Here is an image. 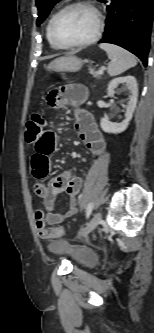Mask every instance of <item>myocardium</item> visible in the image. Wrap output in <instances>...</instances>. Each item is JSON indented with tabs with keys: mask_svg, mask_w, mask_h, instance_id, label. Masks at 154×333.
<instances>
[{
	"mask_svg": "<svg viewBox=\"0 0 154 333\" xmlns=\"http://www.w3.org/2000/svg\"><path fill=\"white\" fill-rule=\"evenodd\" d=\"M76 7H82V8H86L88 10H90L96 19V28L95 31L93 33V35L83 41L77 42V43H72V44H64L62 43L57 36L55 35V31H54V27H55V23L57 21V19L67 10L72 9V8H76ZM103 17L101 12L98 10V8L96 6H94L93 4H91L90 2H86V1H74V2H70L68 4H66L65 6H63L62 8H60L51 18L50 23H49V34L50 37L52 39V41L54 42V44L60 48V49H74V48H80V47H85L88 45H91L93 43H95L101 36L102 32H103Z\"/></svg>",
	"mask_w": 154,
	"mask_h": 333,
	"instance_id": "f54148a6",
	"label": "myocardium"
}]
</instances>
